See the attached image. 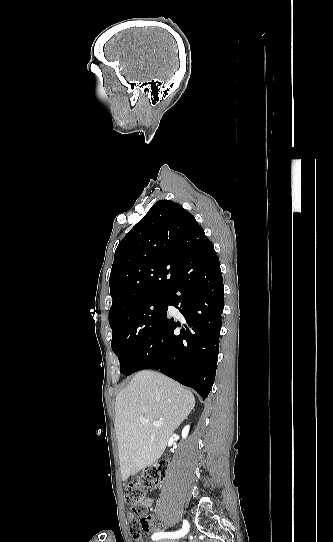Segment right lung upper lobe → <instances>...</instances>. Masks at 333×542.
<instances>
[{
	"label": "right lung upper lobe",
	"instance_id": "cb5924a9",
	"mask_svg": "<svg viewBox=\"0 0 333 542\" xmlns=\"http://www.w3.org/2000/svg\"><path fill=\"white\" fill-rule=\"evenodd\" d=\"M209 241L194 216L180 204L159 200L119 243L109 278V319L157 300L180 281L177 256Z\"/></svg>",
	"mask_w": 333,
	"mask_h": 542
}]
</instances>
